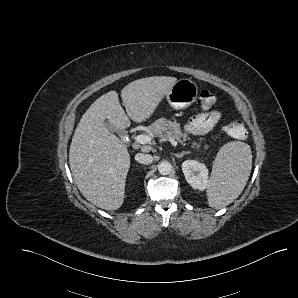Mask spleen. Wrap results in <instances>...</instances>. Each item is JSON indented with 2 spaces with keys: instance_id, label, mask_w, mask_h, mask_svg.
<instances>
[{
  "instance_id": "spleen-1",
  "label": "spleen",
  "mask_w": 298,
  "mask_h": 298,
  "mask_svg": "<svg viewBox=\"0 0 298 298\" xmlns=\"http://www.w3.org/2000/svg\"><path fill=\"white\" fill-rule=\"evenodd\" d=\"M251 168L249 145L242 142L224 145L213 162L211 178L207 184L209 205L223 208L233 202L243 191Z\"/></svg>"
}]
</instances>
